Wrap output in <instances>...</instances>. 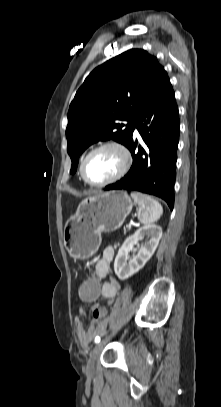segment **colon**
I'll list each match as a JSON object with an SVG mask.
<instances>
[{"mask_svg": "<svg viewBox=\"0 0 221 407\" xmlns=\"http://www.w3.org/2000/svg\"><path fill=\"white\" fill-rule=\"evenodd\" d=\"M77 300H81L82 306H91L95 300H99L101 292V283L99 277L94 271L88 274V277L83 279V283L77 285ZM109 307L107 305H97L93 310L95 319H103L108 316Z\"/></svg>", "mask_w": 221, "mask_h": 407, "instance_id": "5ec220e1", "label": "colon"}]
</instances>
